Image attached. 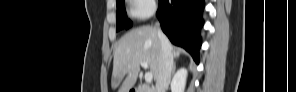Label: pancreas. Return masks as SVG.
<instances>
[{
  "label": "pancreas",
  "instance_id": "1",
  "mask_svg": "<svg viewBox=\"0 0 296 92\" xmlns=\"http://www.w3.org/2000/svg\"><path fill=\"white\" fill-rule=\"evenodd\" d=\"M141 92H147V88L146 87H142L141 88Z\"/></svg>",
  "mask_w": 296,
  "mask_h": 92
}]
</instances>
